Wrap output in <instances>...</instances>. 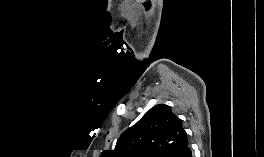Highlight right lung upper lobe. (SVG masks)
Listing matches in <instances>:
<instances>
[{"instance_id": "right-lung-upper-lobe-1", "label": "right lung upper lobe", "mask_w": 264, "mask_h": 157, "mask_svg": "<svg viewBox=\"0 0 264 157\" xmlns=\"http://www.w3.org/2000/svg\"><path fill=\"white\" fill-rule=\"evenodd\" d=\"M188 146L181 120L165 104L152 107L118 139L109 157H176Z\"/></svg>"}]
</instances>
